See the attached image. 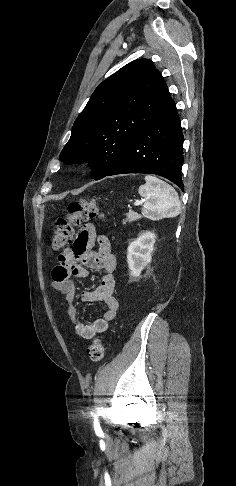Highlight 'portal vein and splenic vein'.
Instances as JSON below:
<instances>
[{
	"instance_id": "portal-vein-and-splenic-vein-1",
	"label": "portal vein and splenic vein",
	"mask_w": 236,
	"mask_h": 486,
	"mask_svg": "<svg viewBox=\"0 0 236 486\" xmlns=\"http://www.w3.org/2000/svg\"><path fill=\"white\" fill-rule=\"evenodd\" d=\"M142 203H143L142 200H137V201H135L134 206L138 207V206L142 205Z\"/></svg>"
}]
</instances>
